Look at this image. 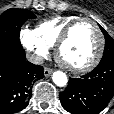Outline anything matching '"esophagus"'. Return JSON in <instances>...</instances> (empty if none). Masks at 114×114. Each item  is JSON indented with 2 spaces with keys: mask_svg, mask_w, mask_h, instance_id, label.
<instances>
[{
  "mask_svg": "<svg viewBox=\"0 0 114 114\" xmlns=\"http://www.w3.org/2000/svg\"><path fill=\"white\" fill-rule=\"evenodd\" d=\"M52 72H53L52 69L47 68V67L44 68V75H45L46 77H48L49 75H51Z\"/></svg>",
  "mask_w": 114,
  "mask_h": 114,
  "instance_id": "1",
  "label": "esophagus"
}]
</instances>
